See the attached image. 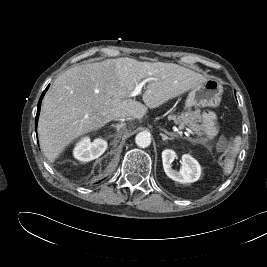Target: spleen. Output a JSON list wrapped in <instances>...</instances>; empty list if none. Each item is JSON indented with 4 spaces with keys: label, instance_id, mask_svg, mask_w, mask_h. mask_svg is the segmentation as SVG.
Masks as SVG:
<instances>
[{
    "label": "spleen",
    "instance_id": "obj_1",
    "mask_svg": "<svg viewBox=\"0 0 267 267\" xmlns=\"http://www.w3.org/2000/svg\"><path fill=\"white\" fill-rule=\"evenodd\" d=\"M241 142H242L241 137L236 136L235 140H234V144H233L231 151H230V157L225 160L224 165H223V174L225 176L230 175L233 171L234 164H235V158L240 151Z\"/></svg>",
    "mask_w": 267,
    "mask_h": 267
}]
</instances>
